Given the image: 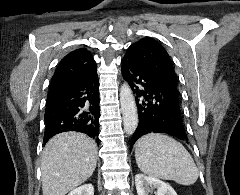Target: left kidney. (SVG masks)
Masks as SVG:
<instances>
[{
	"mask_svg": "<svg viewBox=\"0 0 240 195\" xmlns=\"http://www.w3.org/2000/svg\"><path fill=\"white\" fill-rule=\"evenodd\" d=\"M135 185L138 195H149L152 187H156L155 195H177L175 189L157 177H150L144 173H136Z\"/></svg>",
	"mask_w": 240,
	"mask_h": 195,
	"instance_id": "obj_1",
	"label": "left kidney"
}]
</instances>
